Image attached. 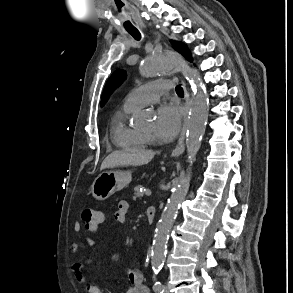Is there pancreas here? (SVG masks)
<instances>
[{
    "mask_svg": "<svg viewBox=\"0 0 293 293\" xmlns=\"http://www.w3.org/2000/svg\"><path fill=\"white\" fill-rule=\"evenodd\" d=\"M140 187L141 186H136L135 187V192H134V198H141L142 196H143V193H141L140 191H139V189H140Z\"/></svg>",
    "mask_w": 293,
    "mask_h": 293,
    "instance_id": "cf45deb5",
    "label": "pancreas"
}]
</instances>
